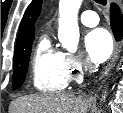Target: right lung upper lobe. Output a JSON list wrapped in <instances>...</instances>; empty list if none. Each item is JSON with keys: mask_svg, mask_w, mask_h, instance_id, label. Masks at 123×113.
<instances>
[{"mask_svg": "<svg viewBox=\"0 0 123 113\" xmlns=\"http://www.w3.org/2000/svg\"><path fill=\"white\" fill-rule=\"evenodd\" d=\"M42 0H32L28 6L19 28V35L17 38L16 46L27 42L34 37L35 27L34 24L40 14Z\"/></svg>", "mask_w": 123, "mask_h": 113, "instance_id": "cb5924a9", "label": "right lung upper lobe"}]
</instances>
